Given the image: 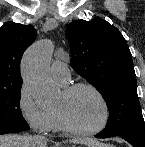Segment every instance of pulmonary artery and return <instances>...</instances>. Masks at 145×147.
<instances>
[{"mask_svg":"<svg viewBox=\"0 0 145 147\" xmlns=\"http://www.w3.org/2000/svg\"><path fill=\"white\" fill-rule=\"evenodd\" d=\"M50 71L53 78L61 84H66L70 79L68 65L61 60H54Z\"/></svg>","mask_w":145,"mask_h":147,"instance_id":"1","label":"pulmonary artery"}]
</instances>
